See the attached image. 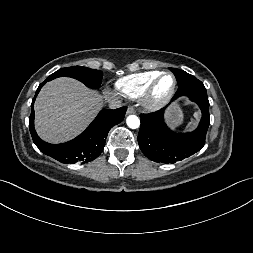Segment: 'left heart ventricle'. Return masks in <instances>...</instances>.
Listing matches in <instances>:
<instances>
[{"instance_id":"left-heart-ventricle-1","label":"left heart ventricle","mask_w":253,"mask_h":253,"mask_svg":"<svg viewBox=\"0 0 253 253\" xmlns=\"http://www.w3.org/2000/svg\"><path fill=\"white\" fill-rule=\"evenodd\" d=\"M172 85H173L172 78L170 76H164L156 88V91H155L156 97L158 98L163 97L165 94L169 92Z\"/></svg>"}]
</instances>
